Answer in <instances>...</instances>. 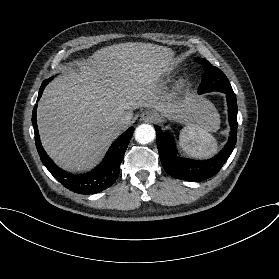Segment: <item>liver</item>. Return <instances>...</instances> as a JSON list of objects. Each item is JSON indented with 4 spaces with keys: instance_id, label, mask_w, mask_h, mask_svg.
<instances>
[{
    "instance_id": "obj_1",
    "label": "liver",
    "mask_w": 279,
    "mask_h": 279,
    "mask_svg": "<svg viewBox=\"0 0 279 279\" xmlns=\"http://www.w3.org/2000/svg\"><path fill=\"white\" fill-rule=\"evenodd\" d=\"M170 49L149 43H126L96 52L72 75L56 79L44 92L38 124L47 153L63 168L85 169L100 159L111 141L126 126L108 123L114 115L150 106L166 112L156 102L159 72L170 67ZM182 119L193 124L202 118L205 101L193 100ZM128 116L132 118L129 112Z\"/></svg>"
}]
</instances>
